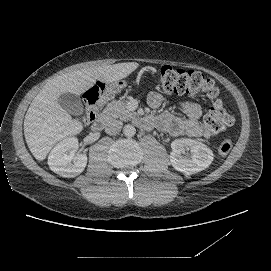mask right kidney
<instances>
[{
  "mask_svg": "<svg viewBox=\"0 0 271 271\" xmlns=\"http://www.w3.org/2000/svg\"><path fill=\"white\" fill-rule=\"evenodd\" d=\"M77 148L78 138L76 136H69L57 143L48 155L49 168L66 177L80 174L87 164V157L84 154H76Z\"/></svg>",
  "mask_w": 271,
  "mask_h": 271,
  "instance_id": "right-kidney-1",
  "label": "right kidney"
}]
</instances>
